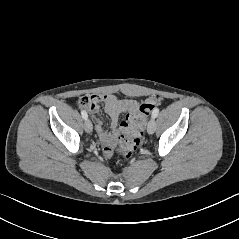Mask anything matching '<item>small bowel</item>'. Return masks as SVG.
<instances>
[{"label":"small bowel","instance_id":"obj_1","mask_svg":"<svg viewBox=\"0 0 239 239\" xmlns=\"http://www.w3.org/2000/svg\"><path fill=\"white\" fill-rule=\"evenodd\" d=\"M91 105L88 110L91 113L98 111L99 103H104L105 111L111 120V132H107L103 128V120L96 121L95 129L99 139L103 145L106 156L111 155V147L119 138L122 128L119 126V117L122 113L133 114L139 106L138 103L131 99H120L113 94H93L89 97ZM150 103H155V99H150Z\"/></svg>","mask_w":239,"mask_h":239}]
</instances>
